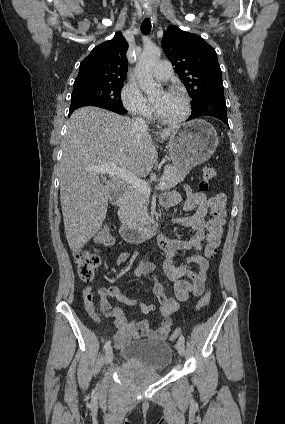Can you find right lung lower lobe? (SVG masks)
Instances as JSON below:
<instances>
[{"mask_svg":"<svg viewBox=\"0 0 285 424\" xmlns=\"http://www.w3.org/2000/svg\"><path fill=\"white\" fill-rule=\"evenodd\" d=\"M84 106H96L100 108H104L110 111H113L117 114H125L127 111L125 109H120L117 107H113L108 104L96 102V101H90V100H76L71 102V106L69 109V116L78 108L84 107Z\"/></svg>","mask_w":285,"mask_h":424,"instance_id":"1","label":"right lung lower lobe"}]
</instances>
